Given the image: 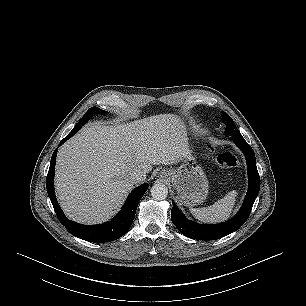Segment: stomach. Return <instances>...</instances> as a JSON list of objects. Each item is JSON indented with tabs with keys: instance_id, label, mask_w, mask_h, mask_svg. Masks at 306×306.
<instances>
[{
	"instance_id": "0dacf381",
	"label": "stomach",
	"mask_w": 306,
	"mask_h": 306,
	"mask_svg": "<svg viewBox=\"0 0 306 306\" xmlns=\"http://www.w3.org/2000/svg\"><path fill=\"white\" fill-rule=\"evenodd\" d=\"M161 176L173 185L179 201L187 207L201 204L208 195L207 177L190 151L177 169H163Z\"/></svg>"
}]
</instances>
